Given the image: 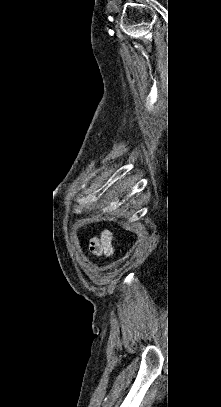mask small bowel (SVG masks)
Returning a JSON list of instances; mask_svg holds the SVG:
<instances>
[{"instance_id":"small-bowel-1","label":"small bowel","mask_w":221,"mask_h":407,"mask_svg":"<svg viewBox=\"0 0 221 407\" xmlns=\"http://www.w3.org/2000/svg\"><path fill=\"white\" fill-rule=\"evenodd\" d=\"M113 234L105 230L99 236L90 239V250L96 256H110L112 254Z\"/></svg>"}]
</instances>
